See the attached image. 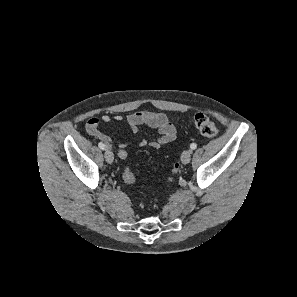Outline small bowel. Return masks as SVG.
Returning <instances> with one entry per match:
<instances>
[{"label":"small bowel","instance_id":"small-bowel-1","mask_svg":"<svg viewBox=\"0 0 297 297\" xmlns=\"http://www.w3.org/2000/svg\"><path fill=\"white\" fill-rule=\"evenodd\" d=\"M132 132L137 133L141 126H148L157 130L159 136L157 139L152 141H147L145 139L139 142V147L149 146L153 149H158L162 145L169 144L176 139L177 131L174 125L171 123L170 116L165 113L152 112L141 110L135 113L129 114L126 118ZM123 117L121 115H109L103 114L100 119L97 117L90 118L85 125L87 133L100 140L103 144H106L107 147H111L112 139L99 130L100 121L105 123H110L112 121L121 122ZM127 143H119L120 150L126 151ZM119 150V151H120ZM127 153V151H126ZM127 157V156H126Z\"/></svg>","mask_w":297,"mask_h":297}]
</instances>
